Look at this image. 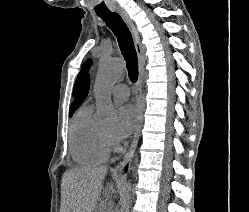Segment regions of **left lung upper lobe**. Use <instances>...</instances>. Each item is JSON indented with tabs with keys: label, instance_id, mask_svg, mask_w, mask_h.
I'll return each mask as SVG.
<instances>
[{
	"label": "left lung upper lobe",
	"instance_id": "5c2ea615",
	"mask_svg": "<svg viewBox=\"0 0 249 212\" xmlns=\"http://www.w3.org/2000/svg\"><path fill=\"white\" fill-rule=\"evenodd\" d=\"M92 64V60L91 59H88L87 61H85V63L83 64L82 68H81V71L77 77V80H76V83H75V86H74V91H73V95H76V93L78 92L81 84H82V81L86 75V73L88 72L90 66Z\"/></svg>",
	"mask_w": 249,
	"mask_h": 212
}]
</instances>
